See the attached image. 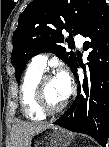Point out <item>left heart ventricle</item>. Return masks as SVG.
I'll list each match as a JSON object with an SVG mask.
<instances>
[{
  "label": "left heart ventricle",
  "mask_w": 109,
  "mask_h": 147,
  "mask_svg": "<svg viewBox=\"0 0 109 147\" xmlns=\"http://www.w3.org/2000/svg\"><path fill=\"white\" fill-rule=\"evenodd\" d=\"M45 95L49 105L52 107L60 105L65 100L61 86L56 78L50 79L46 83Z\"/></svg>",
  "instance_id": "obj_1"
}]
</instances>
